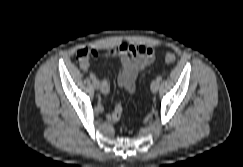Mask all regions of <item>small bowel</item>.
Wrapping results in <instances>:
<instances>
[{
    "mask_svg": "<svg viewBox=\"0 0 243 167\" xmlns=\"http://www.w3.org/2000/svg\"><path fill=\"white\" fill-rule=\"evenodd\" d=\"M90 54L83 60L79 61V65L83 70L90 68V57L96 58H114L119 57L120 73L118 77L119 86L126 92H131L134 89L138 74L144 70L154 59V50L145 45H128L121 43L116 48H111L105 52H100L95 49H89ZM110 92V84L108 80H103L101 83V93L107 96ZM122 114V106L117 105L111 112L107 114L109 122H116Z\"/></svg>",
    "mask_w": 243,
    "mask_h": 167,
    "instance_id": "small-bowel-1",
    "label": "small bowel"
}]
</instances>
